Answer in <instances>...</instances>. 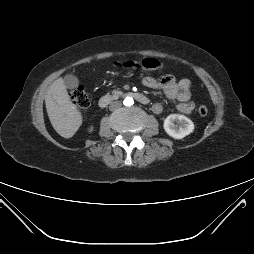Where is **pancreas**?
<instances>
[{
  "label": "pancreas",
  "mask_w": 254,
  "mask_h": 254,
  "mask_svg": "<svg viewBox=\"0 0 254 254\" xmlns=\"http://www.w3.org/2000/svg\"><path fill=\"white\" fill-rule=\"evenodd\" d=\"M112 93H113L114 95H116V94H120L121 91H120L119 89H115V90L112 91Z\"/></svg>",
  "instance_id": "1"
}]
</instances>
